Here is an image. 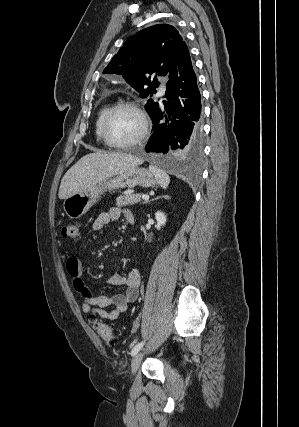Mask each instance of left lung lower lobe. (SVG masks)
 I'll list each match as a JSON object with an SVG mask.
<instances>
[{
    "label": "left lung lower lobe",
    "instance_id": "1",
    "mask_svg": "<svg viewBox=\"0 0 299 427\" xmlns=\"http://www.w3.org/2000/svg\"><path fill=\"white\" fill-rule=\"evenodd\" d=\"M165 100L151 113L153 134L145 147L161 161L194 160L202 153L201 96L188 47L180 44L168 72Z\"/></svg>",
    "mask_w": 299,
    "mask_h": 427
}]
</instances>
